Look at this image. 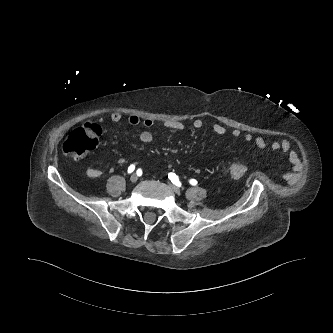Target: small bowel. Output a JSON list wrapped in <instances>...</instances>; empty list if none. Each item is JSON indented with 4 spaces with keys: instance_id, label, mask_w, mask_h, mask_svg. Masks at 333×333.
Returning <instances> with one entry per match:
<instances>
[{
    "instance_id": "obj_1",
    "label": "small bowel",
    "mask_w": 333,
    "mask_h": 333,
    "mask_svg": "<svg viewBox=\"0 0 333 333\" xmlns=\"http://www.w3.org/2000/svg\"><path fill=\"white\" fill-rule=\"evenodd\" d=\"M110 120L114 123L119 122L121 120V114L118 112L112 113L110 115ZM128 123L132 126L142 124L144 130L139 135L140 141L144 144L152 142L153 133L151 128L154 126V121L151 118H144L141 120L138 116L132 115L128 118ZM202 126L203 120L201 118H196L193 121L192 127L194 130H199ZM165 128L171 131H181L185 128V124L179 121H167L165 123ZM213 131L218 135H224L226 133V128L220 124H215L213 126ZM231 134L233 137L238 138L241 136V131L239 129H233ZM244 139L247 142L254 140L259 148L266 147V141L262 137H253L252 134L246 133ZM271 148L275 151H281L287 161L292 165V171L288 173L287 177L289 180H293L301 170V161L290 142L287 139L275 141L271 144ZM86 174L91 178H99L103 175V172L98 168L87 167Z\"/></svg>"
}]
</instances>
